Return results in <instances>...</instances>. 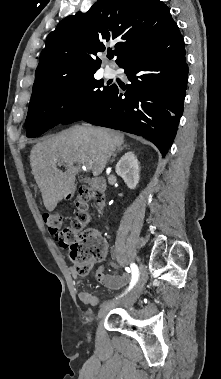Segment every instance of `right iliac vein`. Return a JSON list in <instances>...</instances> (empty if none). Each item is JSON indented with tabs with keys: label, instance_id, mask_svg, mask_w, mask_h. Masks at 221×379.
Masks as SVG:
<instances>
[{
	"label": "right iliac vein",
	"instance_id": "1",
	"mask_svg": "<svg viewBox=\"0 0 221 379\" xmlns=\"http://www.w3.org/2000/svg\"><path fill=\"white\" fill-rule=\"evenodd\" d=\"M147 280V273L146 270L143 266L140 268V276L138 279V282L134 289L124 298L118 300V301H113V302H108L104 304L101 309L99 310L98 317H103L106 315L111 309H113L116 306H127L132 303H134L139 296L142 293L143 287L145 285V282Z\"/></svg>",
	"mask_w": 221,
	"mask_h": 379
}]
</instances>
